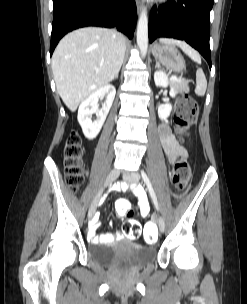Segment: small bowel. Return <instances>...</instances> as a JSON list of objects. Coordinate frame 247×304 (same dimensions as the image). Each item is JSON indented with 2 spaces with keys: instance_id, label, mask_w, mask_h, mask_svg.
Here are the masks:
<instances>
[{
  "instance_id": "obj_1",
  "label": "small bowel",
  "mask_w": 247,
  "mask_h": 304,
  "mask_svg": "<svg viewBox=\"0 0 247 304\" xmlns=\"http://www.w3.org/2000/svg\"><path fill=\"white\" fill-rule=\"evenodd\" d=\"M159 136H160V141L162 144V148L165 152V155L167 159L169 160L170 163H175L176 160L178 159L179 156H184L185 153L181 150V148L178 145V142L173 135L170 126L168 122H163L159 125ZM122 190H129L133 192L137 198H138V203H139V211L140 215L142 217H146L149 212H150V204L148 197L146 195V192L136 186L133 185H128L126 183H123L121 185ZM99 221L98 219H95L93 222L89 232H88V239L93 242V243H100V242H105V241H111L115 239V235L112 234H101L98 235L97 229L99 228ZM120 237V236H118Z\"/></svg>"
}]
</instances>
